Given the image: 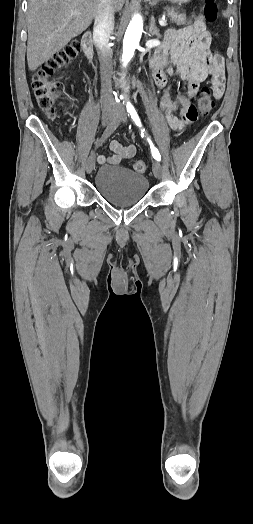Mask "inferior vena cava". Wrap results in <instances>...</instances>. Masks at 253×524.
I'll use <instances>...</instances> for the list:
<instances>
[{
  "label": "inferior vena cava",
  "mask_w": 253,
  "mask_h": 524,
  "mask_svg": "<svg viewBox=\"0 0 253 524\" xmlns=\"http://www.w3.org/2000/svg\"><path fill=\"white\" fill-rule=\"evenodd\" d=\"M113 29L114 8L112 0H100V6L95 16L93 38L98 47L102 93L106 106L115 105L111 86L113 51L109 46V37Z\"/></svg>",
  "instance_id": "inferior-vena-cava-1"
}]
</instances>
